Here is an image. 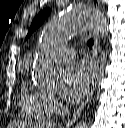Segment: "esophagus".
I'll return each instance as SVG.
<instances>
[{"instance_id":"esophagus-1","label":"esophagus","mask_w":125,"mask_h":128,"mask_svg":"<svg viewBox=\"0 0 125 128\" xmlns=\"http://www.w3.org/2000/svg\"><path fill=\"white\" fill-rule=\"evenodd\" d=\"M93 39H94V45H93V49H92V63H93V67H94L93 85H92L91 90H90L87 98L85 99V101L79 106V108L73 114L71 120L69 121L70 125L77 121L81 112L84 110V108L87 106V104L91 100L92 95H93L95 88H96L98 77H99V57H98L99 40L95 34H93Z\"/></svg>"}]
</instances>
